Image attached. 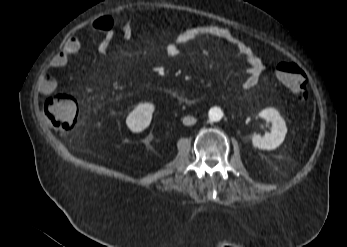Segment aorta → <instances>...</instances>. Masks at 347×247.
I'll return each instance as SVG.
<instances>
[{"instance_id":"obj_1","label":"aorta","mask_w":347,"mask_h":247,"mask_svg":"<svg viewBox=\"0 0 347 247\" xmlns=\"http://www.w3.org/2000/svg\"><path fill=\"white\" fill-rule=\"evenodd\" d=\"M208 116L211 122L220 121L223 117V112L220 108L214 107L209 110Z\"/></svg>"}]
</instances>
